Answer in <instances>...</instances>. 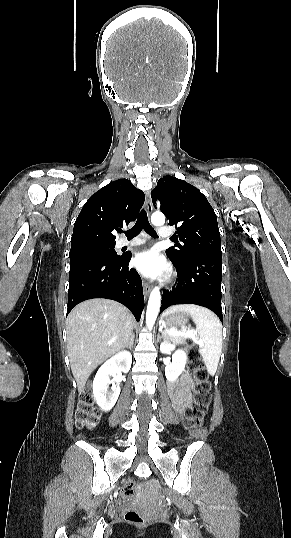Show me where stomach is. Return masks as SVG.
I'll return each instance as SVG.
<instances>
[{"mask_svg": "<svg viewBox=\"0 0 291 538\" xmlns=\"http://www.w3.org/2000/svg\"><path fill=\"white\" fill-rule=\"evenodd\" d=\"M188 321V314L186 312H174L164 315L162 323L172 329L183 328Z\"/></svg>", "mask_w": 291, "mask_h": 538, "instance_id": "stomach-1", "label": "stomach"}]
</instances>
